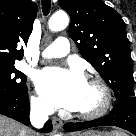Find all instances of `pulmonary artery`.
Masks as SVG:
<instances>
[{
  "label": "pulmonary artery",
  "instance_id": "1",
  "mask_svg": "<svg viewBox=\"0 0 136 136\" xmlns=\"http://www.w3.org/2000/svg\"><path fill=\"white\" fill-rule=\"evenodd\" d=\"M69 49V41L65 37H59L43 50L42 56L45 58L62 57L69 53Z\"/></svg>",
  "mask_w": 136,
  "mask_h": 136
}]
</instances>
